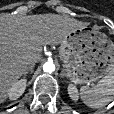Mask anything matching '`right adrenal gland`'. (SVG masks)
<instances>
[{
  "mask_svg": "<svg viewBox=\"0 0 114 114\" xmlns=\"http://www.w3.org/2000/svg\"><path fill=\"white\" fill-rule=\"evenodd\" d=\"M35 64L32 65L27 71L26 73L24 74V76H26L28 73L32 74L33 73V68H34Z\"/></svg>",
  "mask_w": 114,
  "mask_h": 114,
  "instance_id": "1",
  "label": "right adrenal gland"
}]
</instances>
